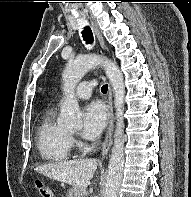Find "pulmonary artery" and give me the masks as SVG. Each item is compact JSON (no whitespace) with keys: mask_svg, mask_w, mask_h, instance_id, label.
Wrapping results in <instances>:
<instances>
[{"mask_svg":"<svg viewBox=\"0 0 191 197\" xmlns=\"http://www.w3.org/2000/svg\"><path fill=\"white\" fill-rule=\"evenodd\" d=\"M96 86L94 81H84L75 89V96L80 99H88L92 95V90Z\"/></svg>","mask_w":191,"mask_h":197,"instance_id":"e3ab8cb5","label":"pulmonary artery"}]
</instances>
